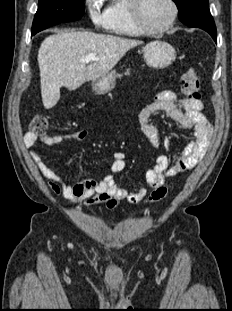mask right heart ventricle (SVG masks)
<instances>
[{
  "label": "right heart ventricle",
  "instance_id": "e07e8e85",
  "mask_svg": "<svg viewBox=\"0 0 232 311\" xmlns=\"http://www.w3.org/2000/svg\"><path fill=\"white\" fill-rule=\"evenodd\" d=\"M129 0H111L106 9L105 28L116 35L137 37L143 34L133 23Z\"/></svg>",
  "mask_w": 232,
  "mask_h": 311
}]
</instances>
